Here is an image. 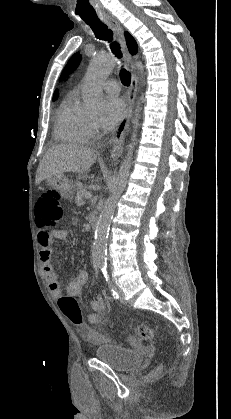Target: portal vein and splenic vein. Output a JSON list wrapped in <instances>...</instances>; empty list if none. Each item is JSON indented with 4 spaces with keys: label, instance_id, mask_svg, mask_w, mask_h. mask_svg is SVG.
<instances>
[{
    "label": "portal vein and splenic vein",
    "instance_id": "18ae733b",
    "mask_svg": "<svg viewBox=\"0 0 231 419\" xmlns=\"http://www.w3.org/2000/svg\"><path fill=\"white\" fill-rule=\"evenodd\" d=\"M91 197H92L91 192H86V193H85V198H86V199H90Z\"/></svg>",
    "mask_w": 231,
    "mask_h": 419
}]
</instances>
